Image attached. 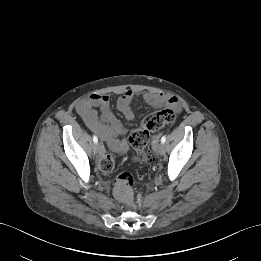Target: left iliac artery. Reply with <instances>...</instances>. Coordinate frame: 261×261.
<instances>
[{"instance_id": "left-iliac-artery-1", "label": "left iliac artery", "mask_w": 261, "mask_h": 261, "mask_svg": "<svg viewBox=\"0 0 261 261\" xmlns=\"http://www.w3.org/2000/svg\"><path fill=\"white\" fill-rule=\"evenodd\" d=\"M165 141H166V137L163 136V137L161 138V143H165Z\"/></svg>"}]
</instances>
